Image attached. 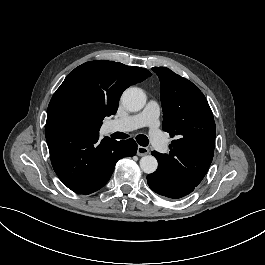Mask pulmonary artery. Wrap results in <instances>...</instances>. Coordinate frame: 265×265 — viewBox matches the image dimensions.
I'll return each mask as SVG.
<instances>
[{
  "mask_svg": "<svg viewBox=\"0 0 265 265\" xmlns=\"http://www.w3.org/2000/svg\"><path fill=\"white\" fill-rule=\"evenodd\" d=\"M159 111V105L150 100L143 112L112 120L111 125L114 131L119 134L125 133L126 131H139L157 125L160 116Z\"/></svg>",
  "mask_w": 265,
  "mask_h": 265,
  "instance_id": "pulmonary-artery-1",
  "label": "pulmonary artery"
}]
</instances>
